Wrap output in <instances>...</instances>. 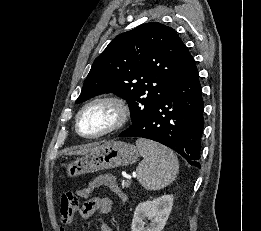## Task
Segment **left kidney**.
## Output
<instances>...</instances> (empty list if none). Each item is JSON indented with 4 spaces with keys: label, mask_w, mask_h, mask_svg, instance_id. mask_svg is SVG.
Masks as SVG:
<instances>
[{
    "label": "left kidney",
    "mask_w": 261,
    "mask_h": 231,
    "mask_svg": "<svg viewBox=\"0 0 261 231\" xmlns=\"http://www.w3.org/2000/svg\"><path fill=\"white\" fill-rule=\"evenodd\" d=\"M173 200L172 195H163L152 201L139 203L134 211L131 230L161 231L170 215ZM146 220L151 222L150 225H146Z\"/></svg>",
    "instance_id": "obj_1"
}]
</instances>
